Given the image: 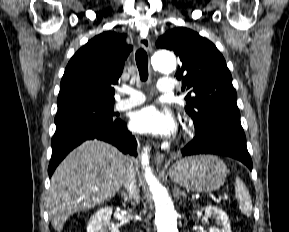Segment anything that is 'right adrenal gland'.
I'll list each match as a JSON object with an SVG mask.
<instances>
[{"label": "right adrenal gland", "instance_id": "2a0ac1e0", "mask_svg": "<svg viewBox=\"0 0 289 232\" xmlns=\"http://www.w3.org/2000/svg\"><path fill=\"white\" fill-rule=\"evenodd\" d=\"M121 197L124 199V202L128 201V196L125 192H121Z\"/></svg>", "mask_w": 289, "mask_h": 232}]
</instances>
